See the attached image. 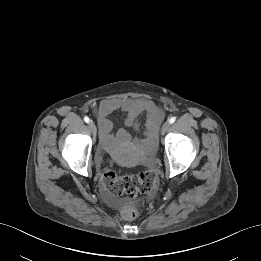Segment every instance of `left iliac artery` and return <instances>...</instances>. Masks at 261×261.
<instances>
[{
  "mask_svg": "<svg viewBox=\"0 0 261 261\" xmlns=\"http://www.w3.org/2000/svg\"><path fill=\"white\" fill-rule=\"evenodd\" d=\"M175 121H176V118L175 117H171L170 120H169V123L173 124Z\"/></svg>",
  "mask_w": 261,
  "mask_h": 261,
  "instance_id": "left-iliac-artery-1",
  "label": "left iliac artery"
}]
</instances>
